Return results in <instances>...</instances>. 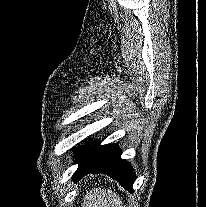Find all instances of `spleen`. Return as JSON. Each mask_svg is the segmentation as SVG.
Segmentation results:
<instances>
[{"label": "spleen", "instance_id": "1", "mask_svg": "<svg viewBox=\"0 0 206 207\" xmlns=\"http://www.w3.org/2000/svg\"><path fill=\"white\" fill-rule=\"evenodd\" d=\"M82 207H124L120 197L112 190L94 188L87 192Z\"/></svg>", "mask_w": 206, "mask_h": 207}]
</instances>
